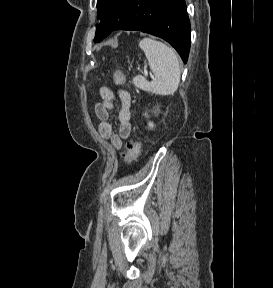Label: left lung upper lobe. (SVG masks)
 Masks as SVG:
<instances>
[{"label": "left lung upper lobe", "instance_id": "1", "mask_svg": "<svg viewBox=\"0 0 273 288\" xmlns=\"http://www.w3.org/2000/svg\"><path fill=\"white\" fill-rule=\"evenodd\" d=\"M133 0H97V14L101 19L95 42H100L110 32L116 30L120 19L126 14Z\"/></svg>", "mask_w": 273, "mask_h": 288}]
</instances>
